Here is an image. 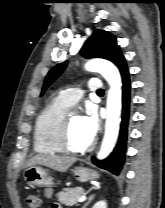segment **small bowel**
I'll return each mask as SVG.
<instances>
[{
  "label": "small bowel",
  "instance_id": "obj_1",
  "mask_svg": "<svg viewBox=\"0 0 165 208\" xmlns=\"http://www.w3.org/2000/svg\"><path fill=\"white\" fill-rule=\"evenodd\" d=\"M46 194H47V195H50V194H51V191H50V190H47V191H46ZM52 208H61V207L58 206L57 204H54V205L52 206Z\"/></svg>",
  "mask_w": 165,
  "mask_h": 208
}]
</instances>
